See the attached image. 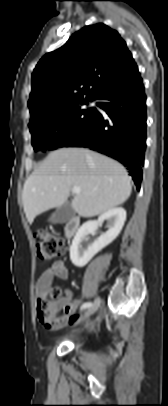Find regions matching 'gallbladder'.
I'll return each mask as SVG.
<instances>
[{
	"label": "gallbladder",
	"instance_id": "obj_1",
	"mask_svg": "<svg viewBox=\"0 0 168 406\" xmlns=\"http://www.w3.org/2000/svg\"><path fill=\"white\" fill-rule=\"evenodd\" d=\"M74 216V211L69 202H65L49 218V221L54 224H63L69 221Z\"/></svg>",
	"mask_w": 168,
	"mask_h": 406
}]
</instances>
